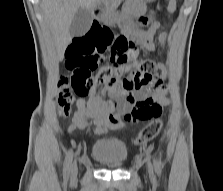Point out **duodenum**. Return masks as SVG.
Instances as JSON below:
<instances>
[{"label":"duodenum","mask_w":223,"mask_h":191,"mask_svg":"<svg viewBox=\"0 0 223 191\" xmlns=\"http://www.w3.org/2000/svg\"><path fill=\"white\" fill-rule=\"evenodd\" d=\"M102 13H103V7H101V6L94 7V9H93V16L95 18L100 17L102 15Z\"/></svg>","instance_id":"1"}]
</instances>
